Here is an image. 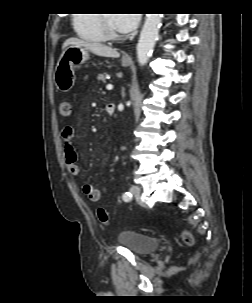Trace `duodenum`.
<instances>
[{"instance_id":"duodenum-1","label":"duodenum","mask_w":252,"mask_h":303,"mask_svg":"<svg viewBox=\"0 0 252 303\" xmlns=\"http://www.w3.org/2000/svg\"><path fill=\"white\" fill-rule=\"evenodd\" d=\"M105 111L107 113V115L112 116L114 114L115 111V107L113 104H107L105 107Z\"/></svg>"}]
</instances>
